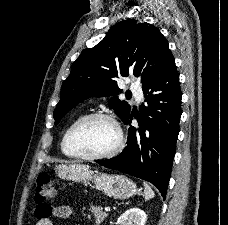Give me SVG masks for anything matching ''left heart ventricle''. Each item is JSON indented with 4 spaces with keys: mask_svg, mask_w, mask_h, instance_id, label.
Listing matches in <instances>:
<instances>
[{
    "mask_svg": "<svg viewBox=\"0 0 228 225\" xmlns=\"http://www.w3.org/2000/svg\"><path fill=\"white\" fill-rule=\"evenodd\" d=\"M117 143V134L108 121L92 118L82 122L71 134L69 150L83 155H99L111 150Z\"/></svg>",
    "mask_w": 228,
    "mask_h": 225,
    "instance_id": "1",
    "label": "left heart ventricle"
}]
</instances>
